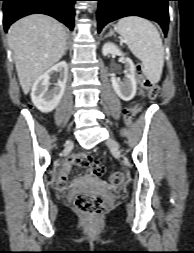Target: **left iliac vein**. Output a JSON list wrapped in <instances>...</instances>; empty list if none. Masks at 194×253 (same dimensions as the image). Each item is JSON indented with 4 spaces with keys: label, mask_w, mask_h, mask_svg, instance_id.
Returning <instances> with one entry per match:
<instances>
[{
    "label": "left iliac vein",
    "mask_w": 194,
    "mask_h": 253,
    "mask_svg": "<svg viewBox=\"0 0 194 253\" xmlns=\"http://www.w3.org/2000/svg\"><path fill=\"white\" fill-rule=\"evenodd\" d=\"M106 143L109 146V148H111L112 150H118L119 149V144L112 138L108 139L106 141Z\"/></svg>",
    "instance_id": "left-iliac-vein-1"
}]
</instances>
